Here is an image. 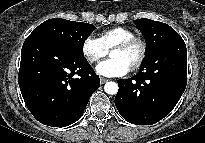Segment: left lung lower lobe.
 <instances>
[{
    "label": "left lung lower lobe",
    "instance_id": "obj_1",
    "mask_svg": "<svg viewBox=\"0 0 205 143\" xmlns=\"http://www.w3.org/2000/svg\"><path fill=\"white\" fill-rule=\"evenodd\" d=\"M154 55L167 59L157 66L140 69L132 78L118 80L115 105L120 115L132 124L157 123L173 110L186 88L187 50L184 40L174 38L163 44Z\"/></svg>",
    "mask_w": 205,
    "mask_h": 143
}]
</instances>
